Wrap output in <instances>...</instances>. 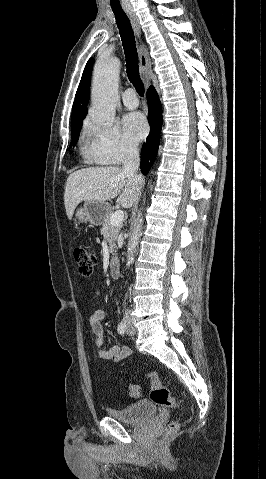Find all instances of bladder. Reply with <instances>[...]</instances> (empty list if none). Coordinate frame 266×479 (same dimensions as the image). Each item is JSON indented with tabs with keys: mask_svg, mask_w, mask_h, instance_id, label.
Masks as SVG:
<instances>
[{
	"mask_svg": "<svg viewBox=\"0 0 266 479\" xmlns=\"http://www.w3.org/2000/svg\"><path fill=\"white\" fill-rule=\"evenodd\" d=\"M157 412L155 403L148 400H140L127 404L121 409L109 408V416L116 418L120 422L128 424H138L144 420L153 417Z\"/></svg>",
	"mask_w": 266,
	"mask_h": 479,
	"instance_id": "31cf9c89",
	"label": "bladder"
}]
</instances>
